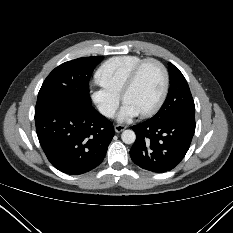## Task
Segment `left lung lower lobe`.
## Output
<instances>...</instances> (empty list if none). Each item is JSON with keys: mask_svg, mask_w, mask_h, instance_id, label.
<instances>
[{"mask_svg": "<svg viewBox=\"0 0 233 233\" xmlns=\"http://www.w3.org/2000/svg\"><path fill=\"white\" fill-rule=\"evenodd\" d=\"M133 130L136 140L130 149L132 161L152 172H166L187 153L195 132V114H177L161 121L149 119L134 125Z\"/></svg>", "mask_w": 233, "mask_h": 233, "instance_id": "0a47b994", "label": "left lung lower lobe"}]
</instances>
